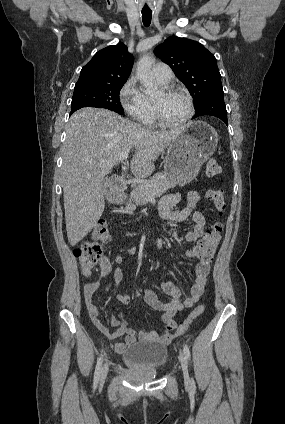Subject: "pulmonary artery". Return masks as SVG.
Returning a JSON list of instances; mask_svg holds the SVG:
<instances>
[{
  "mask_svg": "<svg viewBox=\"0 0 285 424\" xmlns=\"http://www.w3.org/2000/svg\"><path fill=\"white\" fill-rule=\"evenodd\" d=\"M154 78L160 83V84H167L170 82L172 78V70L170 67L164 63H158L156 64L152 69Z\"/></svg>",
  "mask_w": 285,
  "mask_h": 424,
  "instance_id": "e3ab8cb5",
  "label": "pulmonary artery"
}]
</instances>
